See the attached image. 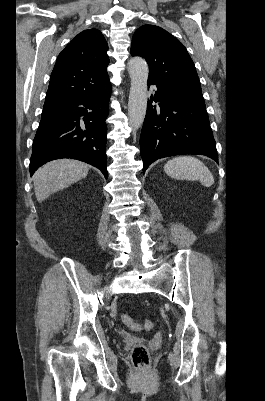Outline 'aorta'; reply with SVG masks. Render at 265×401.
<instances>
[{
	"instance_id": "obj_1",
	"label": "aorta",
	"mask_w": 265,
	"mask_h": 401,
	"mask_svg": "<svg viewBox=\"0 0 265 401\" xmlns=\"http://www.w3.org/2000/svg\"><path fill=\"white\" fill-rule=\"evenodd\" d=\"M128 72L131 78L128 116L133 130H138L143 124L147 108V78L149 68L146 60L133 56L128 60Z\"/></svg>"
}]
</instances>
